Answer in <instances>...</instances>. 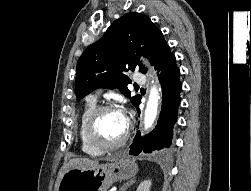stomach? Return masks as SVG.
<instances>
[{"instance_id":"obj_1","label":"stomach","mask_w":251,"mask_h":191,"mask_svg":"<svg viewBox=\"0 0 251 191\" xmlns=\"http://www.w3.org/2000/svg\"><path fill=\"white\" fill-rule=\"evenodd\" d=\"M138 165L126 155H117L116 161L98 163L94 169H70L58 185V191H107L114 181L130 179Z\"/></svg>"}]
</instances>
